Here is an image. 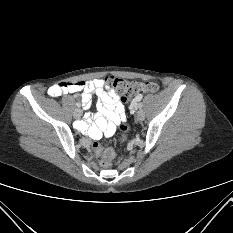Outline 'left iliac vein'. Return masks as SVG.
Instances as JSON below:
<instances>
[{"label":"left iliac vein","mask_w":233,"mask_h":233,"mask_svg":"<svg viewBox=\"0 0 233 233\" xmlns=\"http://www.w3.org/2000/svg\"><path fill=\"white\" fill-rule=\"evenodd\" d=\"M137 118L140 120V121H143L144 118H145V112L144 110L142 109H139L138 112H137Z\"/></svg>","instance_id":"1"}]
</instances>
